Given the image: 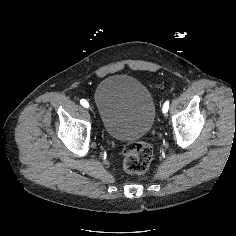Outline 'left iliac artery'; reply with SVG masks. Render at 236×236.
Returning <instances> with one entry per match:
<instances>
[{"label": "left iliac artery", "mask_w": 236, "mask_h": 236, "mask_svg": "<svg viewBox=\"0 0 236 236\" xmlns=\"http://www.w3.org/2000/svg\"><path fill=\"white\" fill-rule=\"evenodd\" d=\"M164 109L167 110V112H168V109H169V101H166V102L164 103L162 110H164Z\"/></svg>", "instance_id": "left-iliac-artery-1"}]
</instances>
